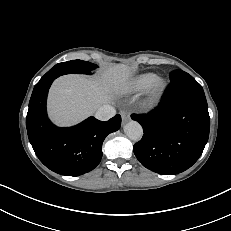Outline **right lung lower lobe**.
Listing matches in <instances>:
<instances>
[{"label": "right lung lower lobe", "instance_id": "98d812e1", "mask_svg": "<svg viewBox=\"0 0 231 231\" xmlns=\"http://www.w3.org/2000/svg\"><path fill=\"white\" fill-rule=\"evenodd\" d=\"M56 77L39 81L32 92L26 117L29 141L39 160L50 170L79 176L97 167L102 158L105 137L121 126V116L109 121L90 117L82 123L59 128L47 117L46 99Z\"/></svg>", "mask_w": 231, "mask_h": 231}]
</instances>
